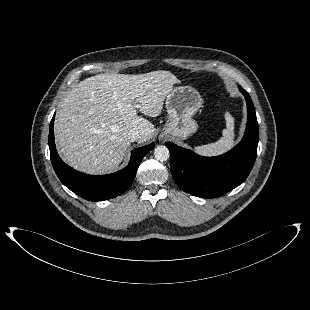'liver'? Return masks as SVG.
<instances>
[{"label":"liver","mask_w":310,"mask_h":310,"mask_svg":"<svg viewBox=\"0 0 310 310\" xmlns=\"http://www.w3.org/2000/svg\"><path fill=\"white\" fill-rule=\"evenodd\" d=\"M180 81L169 71L146 74H99L78 83L63 99L55 119V141L63 159L88 174L116 169L131 140L128 133L141 132L137 141H149L155 126L138 116H158L164 100Z\"/></svg>","instance_id":"1"}]
</instances>
